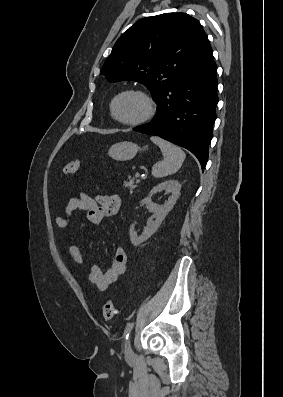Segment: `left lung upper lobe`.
I'll return each instance as SVG.
<instances>
[{"label": "left lung upper lobe", "mask_w": 283, "mask_h": 397, "mask_svg": "<svg viewBox=\"0 0 283 397\" xmlns=\"http://www.w3.org/2000/svg\"><path fill=\"white\" fill-rule=\"evenodd\" d=\"M210 49L198 20L182 12L164 13L143 18L123 33L100 73L110 82L143 83L158 103L178 76Z\"/></svg>", "instance_id": "obj_1"}]
</instances>
